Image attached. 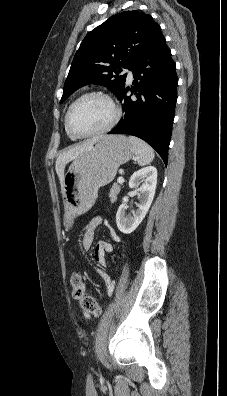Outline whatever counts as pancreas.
Listing matches in <instances>:
<instances>
[{"label": "pancreas", "mask_w": 227, "mask_h": 396, "mask_svg": "<svg viewBox=\"0 0 227 396\" xmlns=\"http://www.w3.org/2000/svg\"><path fill=\"white\" fill-rule=\"evenodd\" d=\"M120 189H121L120 185H118L116 183L113 184V186H112V188L110 190V194H109L111 202H115L116 201L117 195L119 194Z\"/></svg>", "instance_id": "obj_1"}]
</instances>
